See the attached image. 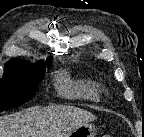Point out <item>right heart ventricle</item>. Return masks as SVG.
<instances>
[{
	"mask_svg": "<svg viewBox=\"0 0 144 137\" xmlns=\"http://www.w3.org/2000/svg\"><path fill=\"white\" fill-rule=\"evenodd\" d=\"M55 86L60 96L70 100L96 101L99 89L95 81L89 78L74 77L68 72L57 75Z\"/></svg>",
	"mask_w": 144,
	"mask_h": 137,
	"instance_id": "1",
	"label": "right heart ventricle"
}]
</instances>
